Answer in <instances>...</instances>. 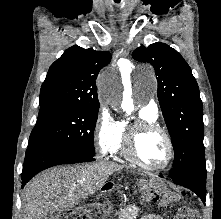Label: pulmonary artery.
<instances>
[{
  "label": "pulmonary artery",
  "instance_id": "obj_1",
  "mask_svg": "<svg viewBox=\"0 0 221 219\" xmlns=\"http://www.w3.org/2000/svg\"><path fill=\"white\" fill-rule=\"evenodd\" d=\"M158 110H159L158 105L154 101H150L142 108V111H145V112L151 114L152 116H157Z\"/></svg>",
  "mask_w": 221,
  "mask_h": 219
}]
</instances>
